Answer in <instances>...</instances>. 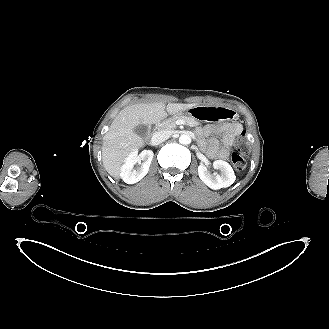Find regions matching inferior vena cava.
Wrapping results in <instances>:
<instances>
[{
	"instance_id": "602c4592",
	"label": "inferior vena cava",
	"mask_w": 329,
	"mask_h": 329,
	"mask_svg": "<svg viewBox=\"0 0 329 329\" xmlns=\"http://www.w3.org/2000/svg\"><path fill=\"white\" fill-rule=\"evenodd\" d=\"M170 135H171L170 132L166 131V130H161V131L155 132L152 136V142L155 145H158V144L164 142L165 140H167L170 137Z\"/></svg>"
}]
</instances>
